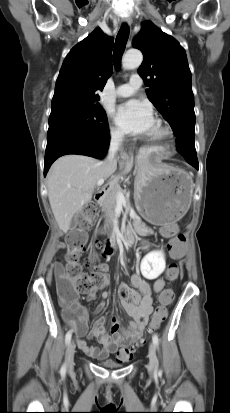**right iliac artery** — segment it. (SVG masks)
I'll return each instance as SVG.
<instances>
[{"mask_svg": "<svg viewBox=\"0 0 230 413\" xmlns=\"http://www.w3.org/2000/svg\"><path fill=\"white\" fill-rule=\"evenodd\" d=\"M71 336H72V331L70 330V331L67 332V334H66V336H65L66 345H68V344L70 343V341H71ZM60 373H61V375H65V373H66V364H64V365L61 367Z\"/></svg>", "mask_w": 230, "mask_h": 413, "instance_id": "obj_1", "label": "right iliac artery"}]
</instances>
